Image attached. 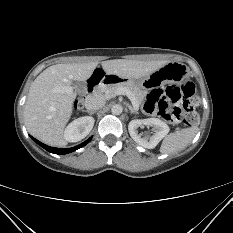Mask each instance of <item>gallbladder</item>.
Returning a JSON list of instances; mask_svg holds the SVG:
<instances>
[{"label":"gallbladder","instance_id":"gallbladder-1","mask_svg":"<svg viewBox=\"0 0 233 233\" xmlns=\"http://www.w3.org/2000/svg\"><path fill=\"white\" fill-rule=\"evenodd\" d=\"M72 85L78 92H83L85 90V84L82 82L74 81Z\"/></svg>","mask_w":233,"mask_h":233}]
</instances>
